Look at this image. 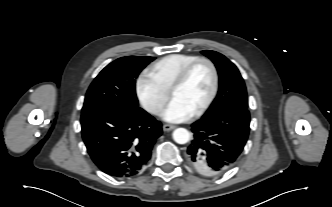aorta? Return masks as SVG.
<instances>
[{
	"mask_svg": "<svg viewBox=\"0 0 332 207\" xmlns=\"http://www.w3.org/2000/svg\"><path fill=\"white\" fill-rule=\"evenodd\" d=\"M173 139L178 144H186L190 140V133L185 128H177L173 132Z\"/></svg>",
	"mask_w": 332,
	"mask_h": 207,
	"instance_id": "762f6f07",
	"label": "aorta"
}]
</instances>
